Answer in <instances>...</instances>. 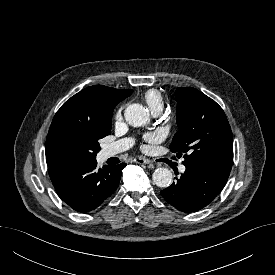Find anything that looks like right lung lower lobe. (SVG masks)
<instances>
[{"label": "right lung lower lobe", "mask_w": 275, "mask_h": 275, "mask_svg": "<svg viewBox=\"0 0 275 275\" xmlns=\"http://www.w3.org/2000/svg\"><path fill=\"white\" fill-rule=\"evenodd\" d=\"M126 166L97 168V161L49 167L50 179L60 198L73 210L89 212L100 206L118 187Z\"/></svg>", "instance_id": "obj_1"}]
</instances>
